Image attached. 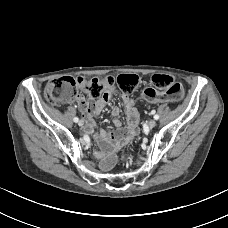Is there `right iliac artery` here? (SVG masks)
<instances>
[{
  "label": "right iliac artery",
  "instance_id": "82829eb1",
  "mask_svg": "<svg viewBox=\"0 0 228 228\" xmlns=\"http://www.w3.org/2000/svg\"><path fill=\"white\" fill-rule=\"evenodd\" d=\"M73 121L77 123V122L79 121V118H78V117H75V118L73 119Z\"/></svg>",
  "mask_w": 228,
  "mask_h": 228
}]
</instances>
